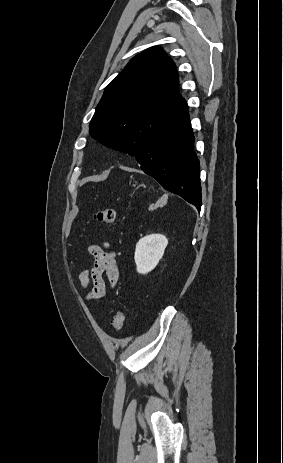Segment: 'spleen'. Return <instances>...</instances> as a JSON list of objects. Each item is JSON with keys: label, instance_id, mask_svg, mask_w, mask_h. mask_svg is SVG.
Masks as SVG:
<instances>
[{"label": "spleen", "instance_id": "1", "mask_svg": "<svg viewBox=\"0 0 283 463\" xmlns=\"http://www.w3.org/2000/svg\"><path fill=\"white\" fill-rule=\"evenodd\" d=\"M167 199H168V196L165 194V195H163L162 198H160V200H159L158 202H159V203H160V202H166Z\"/></svg>", "mask_w": 283, "mask_h": 463}]
</instances>
